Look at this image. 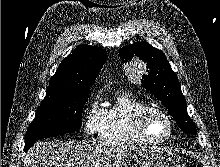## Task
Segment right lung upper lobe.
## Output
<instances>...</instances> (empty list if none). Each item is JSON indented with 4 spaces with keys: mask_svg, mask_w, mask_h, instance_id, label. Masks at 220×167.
I'll return each instance as SVG.
<instances>
[{
    "mask_svg": "<svg viewBox=\"0 0 220 167\" xmlns=\"http://www.w3.org/2000/svg\"><path fill=\"white\" fill-rule=\"evenodd\" d=\"M106 58L107 53L101 48L90 45L77 46L73 53L61 62L50 79L44 99L71 92L90 91V86Z\"/></svg>",
    "mask_w": 220,
    "mask_h": 167,
    "instance_id": "1",
    "label": "right lung upper lobe"
}]
</instances>
